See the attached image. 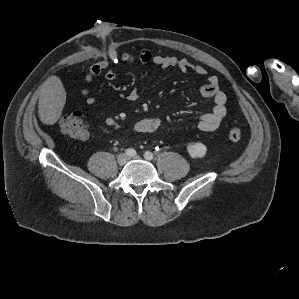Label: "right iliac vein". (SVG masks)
<instances>
[{
  "mask_svg": "<svg viewBox=\"0 0 299 299\" xmlns=\"http://www.w3.org/2000/svg\"><path fill=\"white\" fill-rule=\"evenodd\" d=\"M128 160V157L126 154L122 153L117 157V162L120 166H123Z\"/></svg>",
  "mask_w": 299,
  "mask_h": 299,
  "instance_id": "1",
  "label": "right iliac vein"
}]
</instances>
